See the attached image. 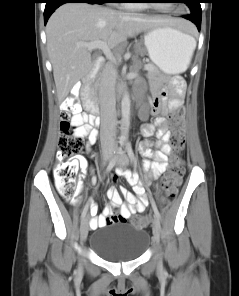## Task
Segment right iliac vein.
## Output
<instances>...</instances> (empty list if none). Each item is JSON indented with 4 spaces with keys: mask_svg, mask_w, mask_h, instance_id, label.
I'll return each mask as SVG.
<instances>
[{
    "mask_svg": "<svg viewBox=\"0 0 239 296\" xmlns=\"http://www.w3.org/2000/svg\"><path fill=\"white\" fill-rule=\"evenodd\" d=\"M103 161L104 163H107L109 161L108 154L104 155ZM88 231H89V222H88V219L85 218V220L81 223V226H80V238L82 242H85L88 236Z\"/></svg>",
    "mask_w": 239,
    "mask_h": 296,
    "instance_id": "63e3f726",
    "label": "right iliac vein"
}]
</instances>
